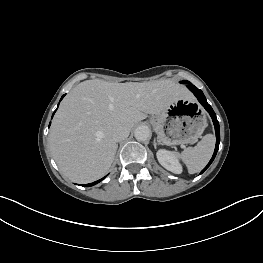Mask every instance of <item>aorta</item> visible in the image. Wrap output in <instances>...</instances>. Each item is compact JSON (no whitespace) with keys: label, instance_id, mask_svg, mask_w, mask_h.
<instances>
[{"label":"aorta","instance_id":"1","mask_svg":"<svg viewBox=\"0 0 263 263\" xmlns=\"http://www.w3.org/2000/svg\"><path fill=\"white\" fill-rule=\"evenodd\" d=\"M134 136L138 141H146L151 136V131L147 126L141 125L134 131Z\"/></svg>","mask_w":263,"mask_h":263}]
</instances>
